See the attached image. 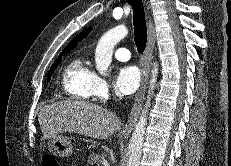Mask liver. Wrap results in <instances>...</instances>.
<instances>
[{
	"mask_svg": "<svg viewBox=\"0 0 231 166\" xmlns=\"http://www.w3.org/2000/svg\"><path fill=\"white\" fill-rule=\"evenodd\" d=\"M38 121L43 139L66 132L107 139L121 127V120L111 111L79 100L45 105L39 111Z\"/></svg>",
	"mask_w": 231,
	"mask_h": 166,
	"instance_id": "liver-1",
	"label": "liver"
}]
</instances>
